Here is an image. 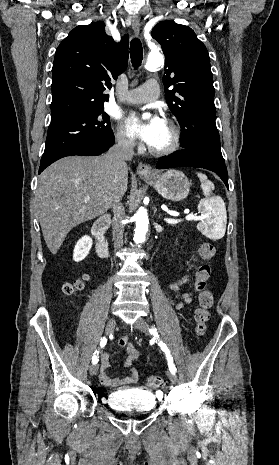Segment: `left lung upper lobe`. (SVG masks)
Returning a JSON list of instances; mask_svg holds the SVG:
<instances>
[{"mask_svg":"<svg viewBox=\"0 0 279 465\" xmlns=\"http://www.w3.org/2000/svg\"><path fill=\"white\" fill-rule=\"evenodd\" d=\"M152 37L165 54V97L181 126V147L224 161L215 123L213 77L205 45L191 28L170 21L159 22L152 30Z\"/></svg>","mask_w":279,"mask_h":465,"instance_id":"1","label":"left lung upper lobe"}]
</instances>
